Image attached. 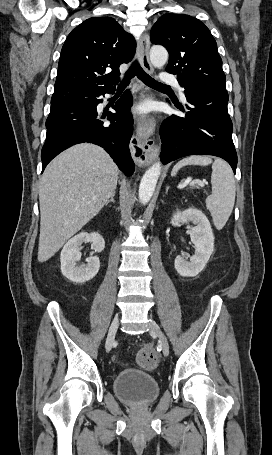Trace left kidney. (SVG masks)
Wrapping results in <instances>:
<instances>
[{"label":"left kidney","instance_id":"5707ae66","mask_svg":"<svg viewBox=\"0 0 272 455\" xmlns=\"http://www.w3.org/2000/svg\"><path fill=\"white\" fill-rule=\"evenodd\" d=\"M192 222L195 226H188L191 241L195 245V253L187 261L185 256H177L175 269L183 277H194L206 266L214 251V235L206 215L197 208L191 207L182 212L173 214L171 224L178 226L180 223Z\"/></svg>","mask_w":272,"mask_h":455}]
</instances>
